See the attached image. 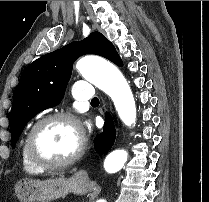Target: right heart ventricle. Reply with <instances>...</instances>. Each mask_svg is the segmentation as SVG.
Instances as JSON below:
<instances>
[{"instance_id":"e07e8e85","label":"right heart ventricle","mask_w":209,"mask_h":202,"mask_svg":"<svg viewBox=\"0 0 209 202\" xmlns=\"http://www.w3.org/2000/svg\"><path fill=\"white\" fill-rule=\"evenodd\" d=\"M26 137H27V133H25V135L23 137V140H22V144H21V163H22V167H23L24 171H26L28 173L37 174V173L41 172L42 170L37 168L36 166H34L28 160V157H27V155L25 153Z\"/></svg>"}]
</instances>
